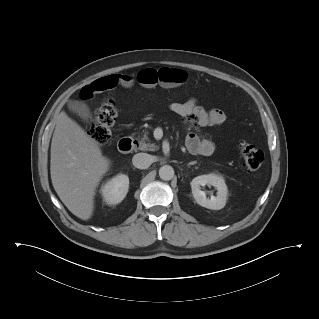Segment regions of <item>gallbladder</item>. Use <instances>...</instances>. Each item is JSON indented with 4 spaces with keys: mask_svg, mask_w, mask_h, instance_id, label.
<instances>
[{
    "mask_svg": "<svg viewBox=\"0 0 319 319\" xmlns=\"http://www.w3.org/2000/svg\"><path fill=\"white\" fill-rule=\"evenodd\" d=\"M68 107L71 111L78 114L84 120H89L92 118L90 109L88 108V106L86 104H84L82 102L69 101Z\"/></svg>",
    "mask_w": 319,
    "mask_h": 319,
    "instance_id": "gallbladder-1",
    "label": "gallbladder"
}]
</instances>
